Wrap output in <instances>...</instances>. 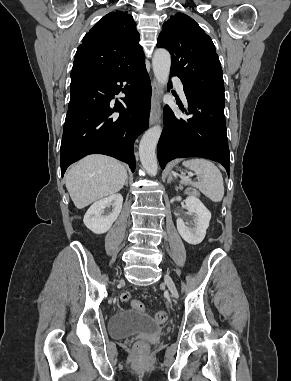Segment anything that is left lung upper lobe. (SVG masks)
Returning a JSON list of instances; mask_svg holds the SVG:
<instances>
[{
	"label": "left lung upper lobe",
	"mask_w": 291,
	"mask_h": 381,
	"mask_svg": "<svg viewBox=\"0 0 291 381\" xmlns=\"http://www.w3.org/2000/svg\"><path fill=\"white\" fill-rule=\"evenodd\" d=\"M158 47L171 54V75L199 92L224 94L223 71L211 38L189 16L176 13L162 26Z\"/></svg>",
	"instance_id": "left-lung-upper-lobe-1"
}]
</instances>
